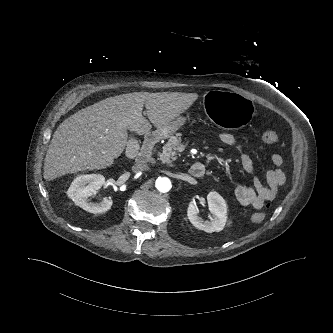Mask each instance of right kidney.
<instances>
[{"instance_id": "ca27d5eb", "label": "right kidney", "mask_w": 333, "mask_h": 333, "mask_svg": "<svg viewBox=\"0 0 333 333\" xmlns=\"http://www.w3.org/2000/svg\"><path fill=\"white\" fill-rule=\"evenodd\" d=\"M104 183L105 178L100 174L80 175L71 183L67 194L76 205L90 213L106 212L112 206L111 198L103 199L100 203L89 202V197L99 190Z\"/></svg>"}]
</instances>
